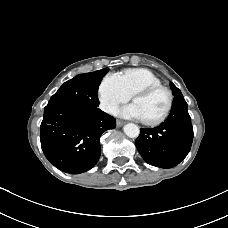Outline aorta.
<instances>
[{
	"label": "aorta",
	"mask_w": 228,
	"mask_h": 228,
	"mask_svg": "<svg viewBox=\"0 0 228 228\" xmlns=\"http://www.w3.org/2000/svg\"><path fill=\"white\" fill-rule=\"evenodd\" d=\"M124 133L130 138H136L139 136V127L134 123H128L123 128Z\"/></svg>",
	"instance_id": "762f6f07"
}]
</instances>
